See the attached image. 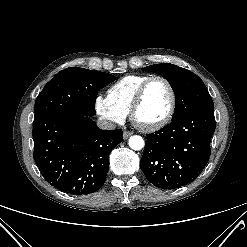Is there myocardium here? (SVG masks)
Wrapping results in <instances>:
<instances>
[{
  "instance_id": "myocardium-1",
  "label": "myocardium",
  "mask_w": 247,
  "mask_h": 247,
  "mask_svg": "<svg viewBox=\"0 0 247 247\" xmlns=\"http://www.w3.org/2000/svg\"><path fill=\"white\" fill-rule=\"evenodd\" d=\"M155 80H161L163 81L169 91H170V96H171V102H170V107L168 112L166 113V115L159 121L152 123V124H143L140 123L137 118H136V114L137 111L140 107V105L142 104L146 91L149 87V85L155 81ZM176 105H177V94H176V90L174 85L172 84V82L165 76L162 75H153L150 76L148 79H146L141 86L139 87V89L137 90L134 99L132 101L131 107H130V117L132 119V121L134 122V124L136 126H138L140 129L144 130V131H155L158 130L162 127H164L166 124H168L170 122V120L172 119L175 110H176Z\"/></svg>"
}]
</instances>
